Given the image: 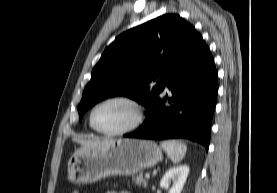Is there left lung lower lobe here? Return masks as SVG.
<instances>
[{"mask_svg":"<svg viewBox=\"0 0 277 193\" xmlns=\"http://www.w3.org/2000/svg\"><path fill=\"white\" fill-rule=\"evenodd\" d=\"M165 84L172 96L159 97L148 111L142 127L125 137L188 138L208 149L218 93V72L210 50L200 34L187 58L174 70ZM166 101L170 105L166 106Z\"/></svg>","mask_w":277,"mask_h":193,"instance_id":"obj_1","label":"left lung lower lobe"}]
</instances>
